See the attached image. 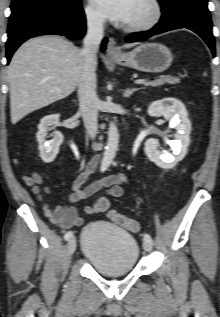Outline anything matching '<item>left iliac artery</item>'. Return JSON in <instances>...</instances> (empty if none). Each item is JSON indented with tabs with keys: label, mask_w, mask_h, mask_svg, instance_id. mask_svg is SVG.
<instances>
[{
	"label": "left iliac artery",
	"mask_w": 220,
	"mask_h": 317,
	"mask_svg": "<svg viewBox=\"0 0 220 317\" xmlns=\"http://www.w3.org/2000/svg\"><path fill=\"white\" fill-rule=\"evenodd\" d=\"M144 240L148 241L150 244H153V240L149 234L144 235Z\"/></svg>",
	"instance_id": "obj_1"
}]
</instances>
